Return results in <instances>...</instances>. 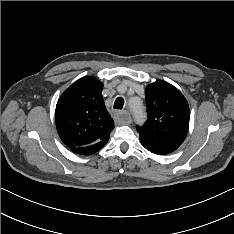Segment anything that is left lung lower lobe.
Wrapping results in <instances>:
<instances>
[{
	"label": "left lung lower lobe",
	"mask_w": 234,
	"mask_h": 234,
	"mask_svg": "<svg viewBox=\"0 0 234 234\" xmlns=\"http://www.w3.org/2000/svg\"><path fill=\"white\" fill-rule=\"evenodd\" d=\"M140 141L147 150L157 155L169 154L180 146L167 139L147 140L140 137Z\"/></svg>",
	"instance_id": "1"
}]
</instances>
